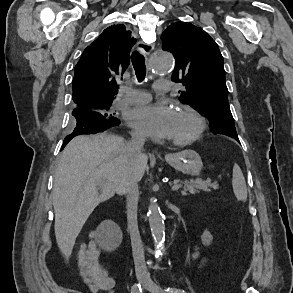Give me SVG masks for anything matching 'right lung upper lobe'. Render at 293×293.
Here are the masks:
<instances>
[{"label": "right lung upper lobe", "mask_w": 293, "mask_h": 293, "mask_svg": "<svg viewBox=\"0 0 293 293\" xmlns=\"http://www.w3.org/2000/svg\"><path fill=\"white\" fill-rule=\"evenodd\" d=\"M135 42L131 32L123 24H117L106 28L84 50L72 81L75 109L96 111L94 102L113 100Z\"/></svg>", "instance_id": "obj_1"}]
</instances>
